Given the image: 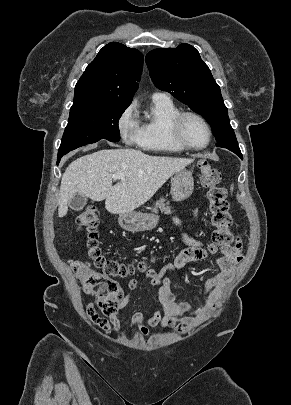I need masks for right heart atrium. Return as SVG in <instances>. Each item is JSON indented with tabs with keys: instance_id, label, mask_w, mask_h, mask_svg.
I'll return each instance as SVG.
<instances>
[{
	"instance_id": "right-heart-atrium-1",
	"label": "right heart atrium",
	"mask_w": 291,
	"mask_h": 405,
	"mask_svg": "<svg viewBox=\"0 0 291 405\" xmlns=\"http://www.w3.org/2000/svg\"><path fill=\"white\" fill-rule=\"evenodd\" d=\"M117 128L123 142L126 144L137 143L139 134V122L136 117L134 105H128L119 115Z\"/></svg>"
}]
</instances>
